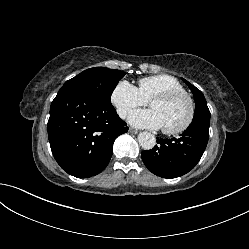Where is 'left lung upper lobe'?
<instances>
[{"instance_id":"1","label":"left lung upper lobe","mask_w":249,"mask_h":249,"mask_svg":"<svg viewBox=\"0 0 249 249\" xmlns=\"http://www.w3.org/2000/svg\"><path fill=\"white\" fill-rule=\"evenodd\" d=\"M183 81L190 88L195 99L196 104H195V113H194L193 119H196L199 117H210V111L207 107V102H206V99L203 93L199 89H197L194 85L186 81L185 79H183Z\"/></svg>"}]
</instances>
